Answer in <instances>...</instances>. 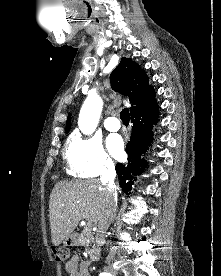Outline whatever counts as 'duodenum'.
Returning <instances> with one entry per match:
<instances>
[{"mask_svg": "<svg viewBox=\"0 0 221 276\" xmlns=\"http://www.w3.org/2000/svg\"><path fill=\"white\" fill-rule=\"evenodd\" d=\"M89 256H90L91 260H97L99 258V256H100V250L97 249V248H92L89 251Z\"/></svg>", "mask_w": 221, "mask_h": 276, "instance_id": "1", "label": "duodenum"}]
</instances>
